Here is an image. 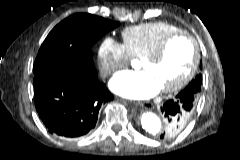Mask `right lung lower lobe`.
Here are the masks:
<instances>
[{
  "mask_svg": "<svg viewBox=\"0 0 240 160\" xmlns=\"http://www.w3.org/2000/svg\"><path fill=\"white\" fill-rule=\"evenodd\" d=\"M35 107L51 133L76 138L95 127L100 107L113 100L95 69L53 62L34 73Z\"/></svg>",
  "mask_w": 240,
  "mask_h": 160,
  "instance_id": "1",
  "label": "right lung lower lobe"
}]
</instances>
